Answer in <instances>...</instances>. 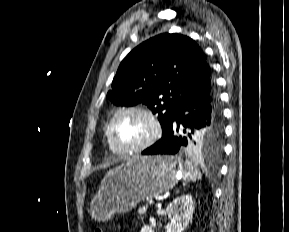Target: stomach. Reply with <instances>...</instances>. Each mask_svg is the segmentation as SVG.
Listing matches in <instances>:
<instances>
[{
  "label": "stomach",
  "mask_w": 289,
  "mask_h": 232,
  "mask_svg": "<svg viewBox=\"0 0 289 232\" xmlns=\"http://www.w3.org/2000/svg\"><path fill=\"white\" fill-rule=\"evenodd\" d=\"M177 158L138 156L111 170L90 202V215L107 221L115 213L132 210L137 203L160 195L176 183Z\"/></svg>",
  "instance_id": "0dacf381"
}]
</instances>
